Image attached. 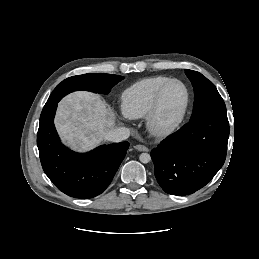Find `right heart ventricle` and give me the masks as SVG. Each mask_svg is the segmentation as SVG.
<instances>
[{
    "instance_id": "obj_1",
    "label": "right heart ventricle",
    "mask_w": 259,
    "mask_h": 259,
    "mask_svg": "<svg viewBox=\"0 0 259 259\" xmlns=\"http://www.w3.org/2000/svg\"><path fill=\"white\" fill-rule=\"evenodd\" d=\"M168 79L166 76L147 77L126 88L120 98L123 113L132 119L145 117L156 90Z\"/></svg>"
}]
</instances>
